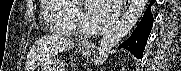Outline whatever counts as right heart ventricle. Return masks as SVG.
Here are the masks:
<instances>
[{
  "label": "right heart ventricle",
  "instance_id": "obj_1",
  "mask_svg": "<svg viewBox=\"0 0 181 71\" xmlns=\"http://www.w3.org/2000/svg\"><path fill=\"white\" fill-rule=\"evenodd\" d=\"M42 16L49 30L75 36L78 33L79 10L74 1L43 0Z\"/></svg>",
  "mask_w": 181,
  "mask_h": 71
}]
</instances>
